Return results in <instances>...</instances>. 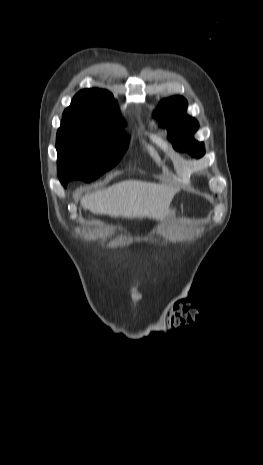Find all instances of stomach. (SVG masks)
Segmentation results:
<instances>
[{
  "mask_svg": "<svg viewBox=\"0 0 263 465\" xmlns=\"http://www.w3.org/2000/svg\"><path fill=\"white\" fill-rule=\"evenodd\" d=\"M166 217H167V220H172L175 217V209L169 210Z\"/></svg>",
  "mask_w": 263,
  "mask_h": 465,
  "instance_id": "1",
  "label": "stomach"
}]
</instances>
